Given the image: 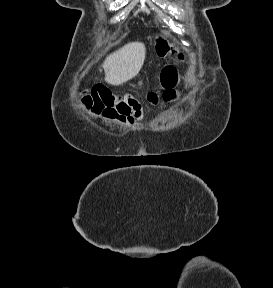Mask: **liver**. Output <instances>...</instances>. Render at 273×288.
Listing matches in <instances>:
<instances>
[{
    "instance_id": "1",
    "label": "liver",
    "mask_w": 273,
    "mask_h": 288,
    "mask_svg": "<svg viewBox=\"0 0 273 288\" xmlns=\"http://www.w3.org/2000/svg\"><path fill=\"white\" fill-rule=\"evenodd\" d=\"M146 55L145 45L131 42L108 55L103 63L105 81L120 85L134 78L141 70Z\"/></svg>"
}]
</instances>
